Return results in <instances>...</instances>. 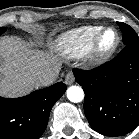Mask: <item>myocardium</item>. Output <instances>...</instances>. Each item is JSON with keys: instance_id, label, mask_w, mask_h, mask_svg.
I'll list each match as a JSON object with an SVG mask.
<instances>
[{"instance_id": "f54148a6", "label": "myocardium", "mask_w": 139, "mask_h": 139, "mask_svg": "<svg viewBox=\"0 0 139 139\" xmlns=\"http://www.w3.org/2000/svg\"><path fill=\"white\" fill-rule=\"evenodd\" d=\"M108 31H113L115 33L116 40L110 48L106 50H102L100 48V41L103 35ZM120 43H121V36L119 31L116 28L114 27L102 28L94 37L91 46L89 48V51L87 52L88 61L94 66H99L106 63L116 53V51L120 46Z\"/></svg>"}]
</instances>
